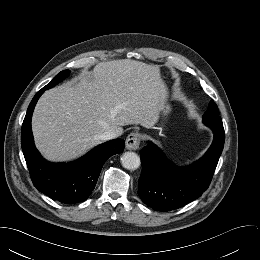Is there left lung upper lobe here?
I'll return each instance as SVG.
<instances>
[{
  "label": "left lung upper lobe",
  "mask_w": 260,
  "mask_h": 260,
  "mask_svg": "<svg viewBox=\"0 0 260 260\" xmlns=\"http://www.w3.org/2000/svg\"><path fill=\"white\" fill-rule=\"evenodd\" d=\"M203 122L222 125L218 107L213 101L210 103L208 110L203 115Z\"/></svg>",
  "instance_id": "obj_1"
}]
</instances>
